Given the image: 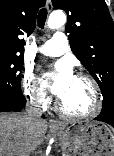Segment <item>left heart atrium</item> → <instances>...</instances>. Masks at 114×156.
<instances>
[{
    "label": "left heart atrium",
    "mask_w": 114,
    "mask_h": 156,
    "mask_svg": "<svg viewBox=\"0 0 114 156\" xmlns=\"http://www.w3.org/2000/svg\"><path fill=\"white\" fill-rule=\"evenodd\" d=\"M74 75L69 61L63 60L55 64L52 71L44 74L45 86L59 98L63 96Z\"/></svg>",
    "instance_id": "39dd6f15"
}]
</instances>
